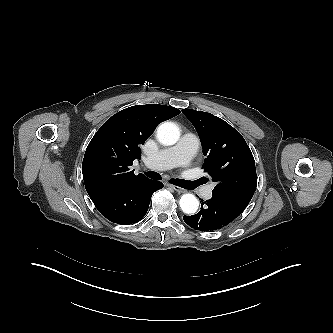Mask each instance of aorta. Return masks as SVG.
<instances>
[{
  "label": "aorta",
  "instance_id": "aorta-1",
  "mask_svg": "<svg viewBox=\"0 0 333 333\" xmlns=\"http://www.w3.org/2000/svg\"><path fill=\"white\" fill-rule=\"evenodd\" d=\"M180 136L177 125L173 122H163L157 129V138L163 145H174ZM182 211L186 214H194L198 207V199L190 193L183 194L179 201Z\"/></svg>",
  "mask_w": 333,
  "mask_h": 333
}]
</instances>
